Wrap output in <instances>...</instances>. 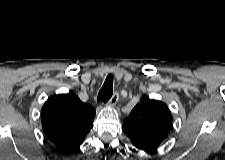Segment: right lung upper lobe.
<instances>
[{
    "label": "right lung upper lobe",
    "instance_id": "right-lung-upper-lobe-1",
    "mask_svg": "<svg viewBox=\"0 0 225 160\" xmlns=\"http://www.w3.org/2000/svg\"><path fill=\"white\" fill-rule=\"evenodd\" d=\"M95 109L69 92L50 97L41 110L43 131L61 151L79 149L93 126Z\"/></svg>",
    "mask_w": 225,
    "mask_h": 160
}]
</instances>
